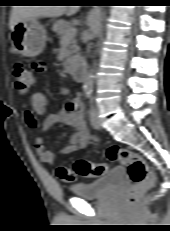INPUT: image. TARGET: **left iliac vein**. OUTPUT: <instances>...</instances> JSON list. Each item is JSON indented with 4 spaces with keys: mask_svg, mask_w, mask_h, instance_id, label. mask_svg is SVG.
Listing matches in <instances>:
<instances>
[{
    "mask_svg": "<svg viewBox=\"0 0 170 231\" xmlns=\"http://www.w3.org/2000/svg\"><path fill=\"white\" fill-rule=\"evenodd\" d=\"M89 119H90L91 126L94 129L99 130L101 128V123L98 117V111L94 106L91 107L89 113Z\"/></svg>",
    "mask_w": 170,
    "mask_h": 231,
    "instance_id": "obj_1",
    "label": "left iliac vein"
}]
</instances>
